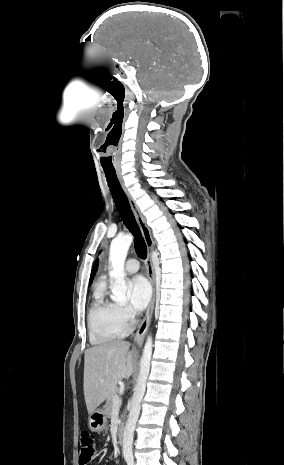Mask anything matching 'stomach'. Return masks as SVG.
<instances>
[{
  "label": "stomach",
  "mask_w": 284,
  "mask_h": 465,
  "mask_svg": "<svg viewBox=\"0 0 284 465\" xmlns=\"http://www.w3.org/2000/svg\"><path fill=\"white\" fill-rule=\"evenodd\" d=\"M106 415L103 409H96L93 413H90L88 417V427L90 431L94 433H101L104 427H106Z\"/></svg>",
  "instance_id": "0dacf381"
}]
</instances>
